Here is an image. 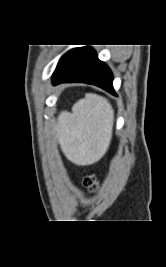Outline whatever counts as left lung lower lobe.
<instances>
[{
  "label": "left lung lower lobe",
  "instance_id": "0a47b994",
  "mask_svg": "<svg viewBox=\"0 0 166 267\" xmlns=\"http://www.w3.org/2000/svg\"><path fill=\"white\" fill-rule=\"evenodd\" d=\"M66 82L93 84L116 95L111 70L98 59L96 52L87 46L72 49L60 59L53 73L52 83L57 85Z\"/></svg>",
  "mask_w": 166,
  "mask_h": 267
}]
</instances>
